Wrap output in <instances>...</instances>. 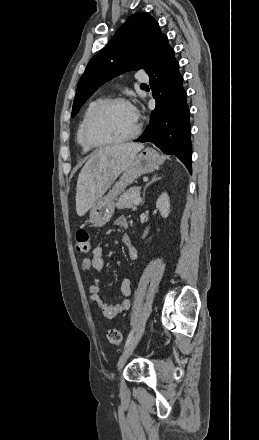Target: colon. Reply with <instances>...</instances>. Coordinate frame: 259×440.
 <instances>
[{"instance_id": "obj_1", "label": "colon", "mask_w": 259, "mask_h": 440, "mask_svg": "<svg viewBox=\"0 0 259 440\" xmlns=\"http://www.w3.org/2000/svg\"><path fill=\"white\" fill-rule=\"evenodd\" d=\"M76 248L80 254L89 253L92 249L90 235L84 229H79L76 233ZM107 339L110 344L119 346L123 342V335L118 329L110 328L107 331Z\"/></svg>"}]
</instances>
